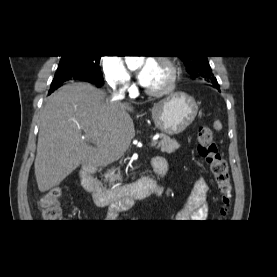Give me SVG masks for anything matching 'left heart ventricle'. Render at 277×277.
Instances as JSON below:
<instances>
[{
	"instance_id": "obj_1",
	"label": "left heart ventricle",
	"mask_w": 277,
	"mask_h": 277,
	"mask_svg": "<svg viewBox=\"0 0 277 277\" xmlns=\"http://www.w3.org/2000/svg\"><path fill=\"white\" fill-rule=\"evenodd\" d=\"M168 80L167 68L159 62L155 63L148 88H159Z\"/></svg>"
}]
</instances>
